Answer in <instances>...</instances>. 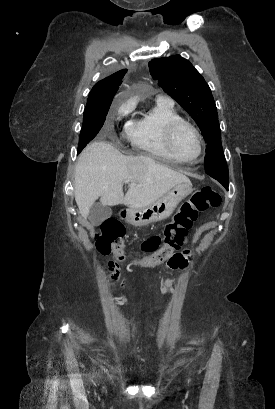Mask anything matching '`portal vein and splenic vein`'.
Wrapping results in <instances>:
<instances>
[{
    "label": "portal vein and splenic vein",
    "mask_w": 275,
    "mask_h": 409,
    "mask_svg": "<svg viewBox=\"0 0 275 409\" xmlns=\"http://www.w3.org/2000/svg\"><path fill=\"white\" fill-rule=\"evenodd\" d=\"M129 180H131V178H126V180H124V182H129ZM138 186H140V184H138Z\"/></svg>",
    "instance_id": "obj_1"
}]
</instances>
